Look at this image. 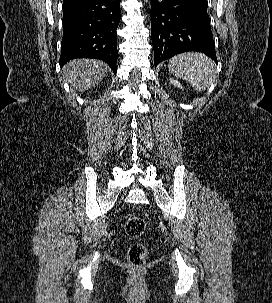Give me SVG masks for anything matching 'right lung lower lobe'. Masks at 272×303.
<instances>
[{
	"label": "right lung lower lobe",
	"instance_id": "right-lung-lower-lobe-1",
	"mask_svg": "<svg viewBox=\"0 0 272 303\" xmlns=\"http://www.w3.org/2000/svg\"><path fill=\"white\" fill-rule=\"evenodd\" d=\"M121 0H78L63 6L60 66L75 58H95L108 63L116 74V29Z\"/></svg>",
	"mask_w": 272,
	"mask_h": 303
}]
</instances>
